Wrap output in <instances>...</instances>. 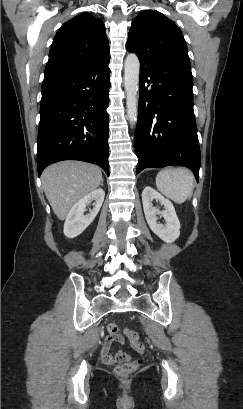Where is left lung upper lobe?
Segmentation results:
<instances>
[{
  "mask_svg": "<svg viewBox=\"0 0 243 409\" xmlns=\"http://www.w3.org/2000/svg\"><path fill=\"white\" fill-rule=\"evenodd\" d=\"M126 48L137 54L141 67L181 60L190 62L180 28L156 10H145L133 19Z\"/></svg>",
  "mask_w": 243,
  "mask_h": 409,
  "instance_id": "left-lung-upper-lobe-1",
  "label": "left lung upper lobe"
}]
</instances>
